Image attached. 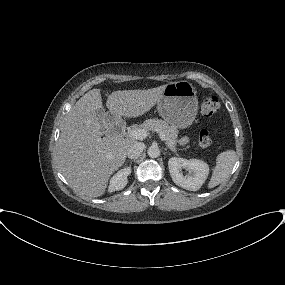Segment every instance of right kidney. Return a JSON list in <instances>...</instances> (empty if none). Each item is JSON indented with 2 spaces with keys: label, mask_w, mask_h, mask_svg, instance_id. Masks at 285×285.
Returning a JSON list of instances; mask_svg holds the SVG:
<instances>
[{
  "label": "right kidney",
  "mask_w": 285,
  "mask_h": 285,
  "mask_svg": "<svg viewBox=\"0 0 285 285\" xmlns=\"http://www.w3.org/2000/svg\"><path fill=\"white\" fill-rule=\"evenodd\" d=\"M131 174V168L130 167H125L121 170H119L110 180V184L108 187V191L114 192V191H119L122 190L127 182L128 179L127 177Z\"/></svg>",
  "instance_id": "right-kidney-1"
}]
</instances>
